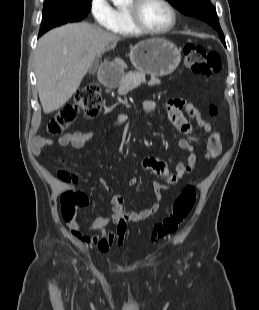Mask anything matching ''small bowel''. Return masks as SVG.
<instances>
[{"label":"small bowel","instance_id":"1","mask_svg":"<svg viewBox=\"0 0 259 310\" xmlns=\"http://www.w3.org/2000/svg\"><path fill=\"white\" fill-rule=\"evenodd\" d=\"M165 107L170 122L182 135L178 142L179 147L188 152V157L185 162L179 161L176 164L175 173L171 172L168 165L158 158L148 157L142 161V169L165 179V183L156 182L153 184L156 201L149 208L139 212H128L125 208L123 196L114 194L110 199V214L97 217L87 226V229L92 232V235L82 236L83 227L77 222L69 225L71 233L76 238L80 239L86 245L97 247L100 253H107L114 244L121 246L124 243L127 225L129 223L145 221L154 216L158 212L161 204V190L177 185L185 174L195 169L197 156L194 152V146L187 138L193 132L194 124L201 127L204 131L211 133L207 142L206 157L213 159L221 153V134L212 131L210 124L202 119L199 111L191 103L175 98L168 100ZM156 109L157 105L152 100L144 101L141 106V111L144 113H154ZM187 117L193 118L194 122H190ZM125 118V115H120L116 120L115 127H118ZM98 133V131L91 130L70 136H62L57 140L37 137L32 142V152L36 156H41L44 149L53 144L79 149L84 147ZM196 143H199V140ZM100 184L107 191L111 189L105 179H101Z\"/></svg>","mask_w":259,"mask_h":310}]
</instances>
